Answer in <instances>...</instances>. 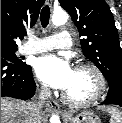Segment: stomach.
Returning <instances> with one entry per match:
<instances>
[{"instance_id": "obj_1", "label": "stomach", "mask_w": 122, "mask_h": 123, "mask_svg": "<svg viewBox=\"0 0 122 123\" xmlns=\"http://www.w3.org/2000/svg\"><path fill=\"white\" fill-rule=\"evenodd\" d=\"M64 120L65 123H101L100 118L96 114L88 110H83L76 116H66Z\"/></svg>"}]
</instances>
